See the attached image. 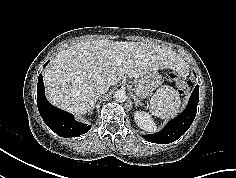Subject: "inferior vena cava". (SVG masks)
I'll return each instance as SVG.
<instances>
[{
	"instance_id": "inferior-vena-cava-1",
	"label": "inferior vena cava",
	"mask_w": 236,
	"mask_h": 178,
	"mask_svg": "<svg viewBox=\"0 0 236 178\" xmlns=\"http://www.w3.org/2000/svg\"><path fill=\"white\" fill-rule=\"evenodd\" d=\"M111 85L109 83H99L96 87V91L95 94L96 96L104 94L105 92H107V90L109 89Z\"/></svg>"
}]
</instances>
